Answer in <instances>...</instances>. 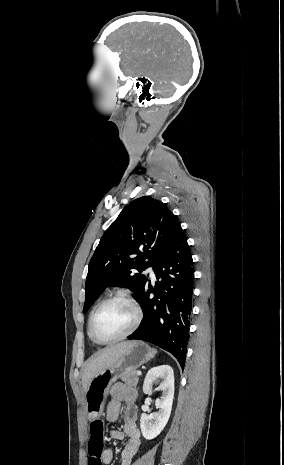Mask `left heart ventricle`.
<instances>
[{
    "mask_svg": "<svg viewBox=\"0 0 284 465\" xmlns=\"http://www.w3.org/2000/svg\"><path fill=\"white\" fill-rule=\"evenodd\" d=\"M134 320V311L128 304L111 303L98 314L94 323V334L102 341L116 339L129 331Z\"/></svg>",
    "mask_w": 284,
    "mask_h": 465,
    "instance_id": "left-heart-ventricle-1",
    "label": "left heart ventricle"
}]
</instances>
